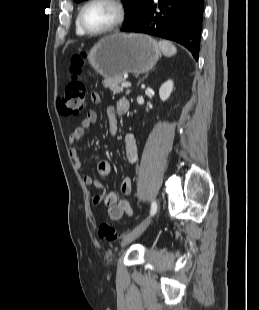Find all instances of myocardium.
Wrapping results in <instances>:
<instances>
[{"label": "myocardium", "mask_w": 259, "mask_h": 310, "mask_svg": "<svg viewBox=\"0 0 259 310\" xmlns=\"http://www.w3.org/2000/svg\"><path fill=\"white\" fill-rule=\"evenodd\" d=\"M96 2L108 3V4L112 5L116 9V12H117L116 19L109 26H107L101 30H97V31L89 29L83 21V13H84L85 9L88 6H90L91 4L96 3ZM126 15H127L126 7H125L124 3L122 2V0H88L80 8L78 16H77V21H78L80 28L82 29V31L86 35L103 36V35H106V34L113 32V31L117 30L119 27H121L126 20Z\"/></svg>", "instance_id": "myocardium-1"}]
</instances>
